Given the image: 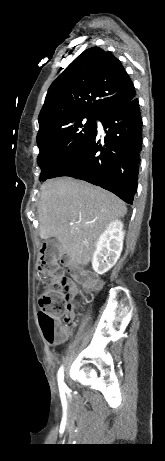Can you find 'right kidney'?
Segmentation results:
<instances>
[{
  "mask_svg": "<svg viewBox=\"0 0 165 461\" xmlns=\"http://www.w3.org/2000/svg\"><path fill=\"white\" fill-rule=\"evenodd\" d=\"M124 233L123 223L115 220L100 235L92 258L95 272L103 275L116 264L123 248Z\"/></svg>",
  "mask_w": 165,
  "mask_h": 461,
  "instance_id": "obj_1",
  "label": "right kidney"
}]
</instances>
